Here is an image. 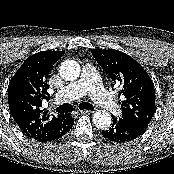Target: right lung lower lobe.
<instances>
[{
	"instance_id": "1",
	"label": "right lung lower lobe",
	"mask_w": 174,
	"mask_h": 174,
	"mask_svg": "<svg viewBox=\"0 0 174 174\" xmlns=\"http://www.w3.org/2000/svg\"><path fill=\"white\" fill-rule=\"evenodd\" d=\"M73 121L74 120L72 118V122L65 129L61 130L59 133L55 134L54 136H52L50 138L40 140V142H51V141L58 140L59 138L63 137L72 127Z\"/></svg>"
}]
</instances>
